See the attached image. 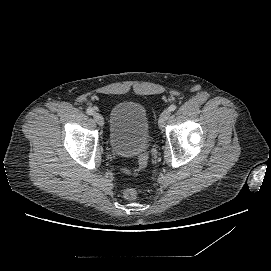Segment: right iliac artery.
<instances>
[{"instance_id":"82829eb1","label":"right iliac artery","mask_w":271,"mask_h":271,"mask_svg":"<svg viewBox=\"0 0 271 271\" xmlns=\"http://www.w3.org/2000/svg\"><path fill=\"white\" fill-rule=\"evenodd\" d=\"M86 112H87L88 115H93L94 114V109L88 108Z\"/></svg>"}]
</instances>
